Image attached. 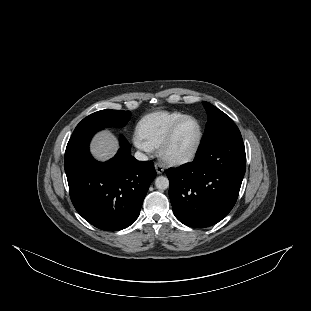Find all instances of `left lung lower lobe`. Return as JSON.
Returning a JSON list of instances; mask_svg holds the SVG:
<instances>
[{
  "label": "left lung lower lobe",
  "instance_id": "left-lung-lower-lobe-1",
  "mask_svg": "<svg viewBox=\"0 0 311 311\" xmlns=\"http://www.w3.org/2000/svg\"><path fill=\"white\" fill-rule=\"evenodd\" d=\"M241 135H229L198 149L191 163L166 171L174 215L183 224L204 228L233 208L245 174Z\"/></svg>",
  "mask_w": 311,
  "mask_h": 311
}]
</instances>
